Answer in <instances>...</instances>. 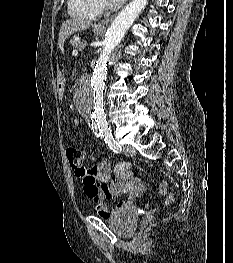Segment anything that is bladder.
<instances>
[{
	"label": "bladder",
	"instance_id": "obj_1",
	"mask_svg": "<svg viewBox=\"0 0 233 263\" xmlns=\"http://www.w3.org/2000/svg\"><path fill=\"white\" fill-rule=\"evenodd\" d=\"M107 223L119 235L130 237L137 227L138 214L132 208L116 209L107 218Z\"/></svg>",
	"mask_w": 233,
	"mask_h": 263
}]
</instances>
